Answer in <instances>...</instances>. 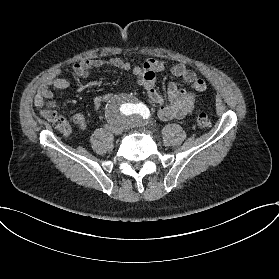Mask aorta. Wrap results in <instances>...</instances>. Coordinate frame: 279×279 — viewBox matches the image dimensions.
<instances>
[{"label": "aorta", "instance_id": "762f6f07", "mask_svg": "<svg viewBox=\"0 0 279 279\" xmlns=\"http://www.w3.org/2000/svg\"><path fill=\"white\" fill-rule=\"evenodd\" d=\"M133 104L130 98L126 95L115 98L109 105V112L111 114H131Z\"/></svg>", "mask_w": 279, "mask_h": 279}]
</instances>
